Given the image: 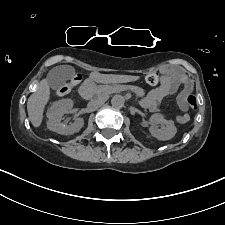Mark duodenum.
Returning a JSON list of instances; mask_svg holds the SVG:
<instances>
[{"instance_id": "410a0bca", "label": "duodenum", "mask_w": 225, "mask_h": 225, "mask_svg": "<svg viewBox=\"0 0 225 225\" xmlns=\"http://www.w3.org/2000/svg\"><path fill=\"white\" fill-rule=\"evenodd\" d=\"M91 88H92V83L89 82V83L86 85L85 95H88V94H89Z\"/></svg>"}]
</instances>
